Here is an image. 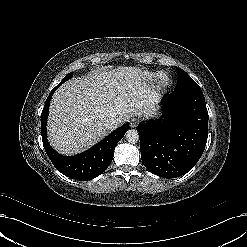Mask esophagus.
<instances>
[{"label":"esophagus","instance_id":"1","mask_svg":"<svg viewBox=\"0 0 247 247\" xmlns=\"http://www.w3.org/2000/svg\"><path fill=\"white\" fill-rule=\"evenodd\" d=\"M138 124H139V120H138V119L132 118V119L130 120V127H131V128L137 127Z\"/></svg>","mask_w":247,"mask_h":247}]
</instances>
